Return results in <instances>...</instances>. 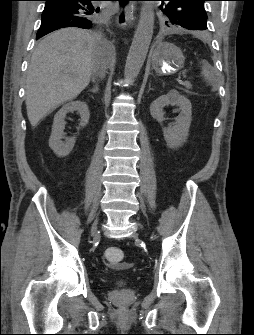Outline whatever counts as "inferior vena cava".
<instances>
[{
	"instance_id": "602c4592",
	"label": "inferior vena cava",
	"mask_w": 254,
	"mask_h": 335,
	"mask_svg": "<svg viewBox=\"0 0 254 335\" xmlns=\"http://www.w3.org/2000/svg\"><path fill=\"white\" fill-rule=\"evenodd\" d=\"M94 37L97 39V40H100L101 39V35L99 33H96L94 35ZM105 72H106V64L105 63H102L100 61H97L96 64H95V67L93 69V72H92V76H93V79L96 77V76H100V77H104L105 76Z\"/></svg>"
}]
</instances>
